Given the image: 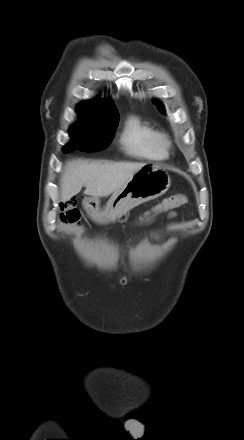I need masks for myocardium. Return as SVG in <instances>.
Listing matches in <instances>:
<instances>
[{
	"mask_svg": "<svg viewBox=\"0 0 244 440\" xmlns=\"http://www.w3.org/2000/svg\"><path fill=\"white\" fill-rule=\"evenodd\" d=\"M153 143L154 146L163 154H167L173 146L170 137L162 132H155L153 136Z\"/></svg>",
	"mask_w": 244,
	"mask_h": 440,
	"instance_id": "f54148a6",
	"label": "myocardium"
}]
</instances>
